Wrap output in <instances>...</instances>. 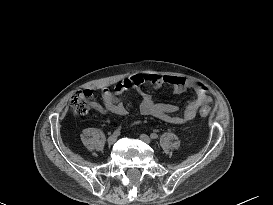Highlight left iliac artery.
Masks as SVG:
<instances>
[{
	"label": "left iliac artery",
	"instance_id": "1",
	"mask_svg": "<svg viewBox=\"0 0 273 205\" xmlns=\"http://www.w3.org/2000/svg\"><path fill=\"white\" fill-rule=\"evenodd\" d=\"M150 137L151 139H157L158 135L156 133H151Z\"/></svg>",
	"mask_w": 273,
	"mask_h": 205
}]
</instances>
